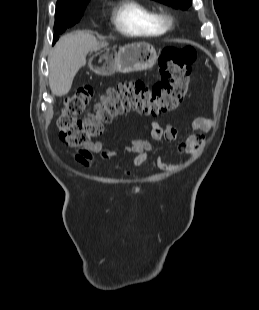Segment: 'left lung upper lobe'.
Listing matches in <instances>:
<instances>
[{
	"instance_id": "1",
	"label": "left lung upper lobe",
	"mask_w": 259,
	"mask_h": 310,
	"mask_svg": "<svg viewBox=\"0 0 259 310\" xmlns=\"http://www.w3.org/2000/svg\"><path fill=\"white\" fill-rule=\"evenodd\" d=\"M174 8L185 10L191 6L192 0H156Z\"/></svg>"
}]
</instances>
